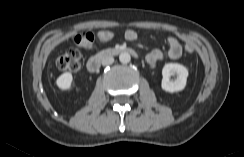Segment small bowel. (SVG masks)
<instances>
[{
    "mask_svg": "<svg viewBox=\"0 0 244 157\" xmlns=\"http://www.w3.org/2000/svg\"><path fill=\"white\" fill-rule=\"evenodd\" d=\"M124 36L127 41H135L138 38L137 32L133 29L126 30ZM168 46L169 49L166 55L160 49L151 50L146 56L147 63L151 67H155L159 61L165 58V56H167L172 60H175L182 55V45L181 42L176 37L171 36L168 38Z\"/></svg>",
    "mask_w": 244,
    "mask_h": 157,
    "instance_id": "small-bowel-1",
    "label": "small bowel"
}]
</instances>
